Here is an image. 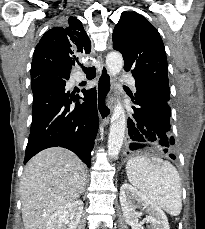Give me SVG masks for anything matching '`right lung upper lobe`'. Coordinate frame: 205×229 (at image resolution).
Masks as SVG:
<instances>
[{
  "instance_id": "right-lung-upper-lobe-1",
  "label": "right lung upper lobe",
  "mask_w": 205,
  "mask_h": 229,
  "mask_svg": "<svg viewBox=\"0 0 205 229\" xmlns=\"http://www.w3.org/2000/svg\"><path fill=\"white\" fill-rule=\"evenodd\" d=\"M90 39L82 23L69 17L65 26L48 30L37 44L31 64V79L53 72L69 77L78 55L90 53Z\"/></svg>"
}]
</instances>
